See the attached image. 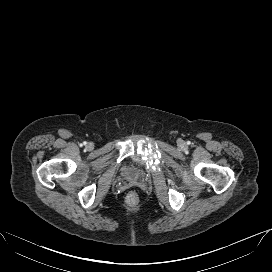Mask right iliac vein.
<instances>
[{"label":"right iliac vein","mask_w":272,"mask_h":272,"mask_svg":"<svg viewBox=\"0 0 272 272\" xmlns=\"http://www.w3.org/2000/svg\"><path fill=\"white\" fill-rule=\"evenodd\" d=\"M92 148H93V145H92L91 143H88V144H87V149H88V150H91Z\"/></svg>","instance_id":"63e3f726"}]
</instances>
